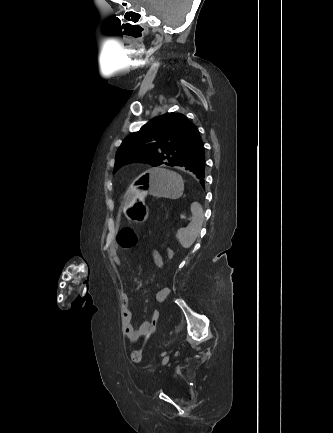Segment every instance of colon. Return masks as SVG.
Instances as JSON below:
<instances>
[{
	"label": "colon",
	"mask_w": 333,
	"mask_h": 433,
	"mask_svg": "<svg viewBox=\"0 0 333 433\" xmlns=\"http://www.w3.org/2000/svg\"><path fill=\"white\" fill-rule=\"evenodd\" d=\"M118 245L121 248L129 249L134 247L137 244V236L133 229L129 227L122 228L117 235ZM168 252L165 254V257L168 261L174 257L173 248H168ZM160 321V315L158 308L151 310V316L149 317V324L151 330L157 329V324ZM149 336V335H148ZM147 336V337H148ZM131 359L134 363H139L142 360V348H138L132 351Z\"/></svg>",
	"instance_id": "obj_1"
}]
</instances>
